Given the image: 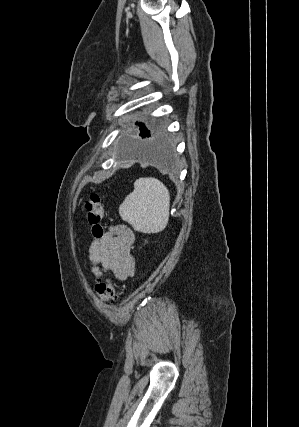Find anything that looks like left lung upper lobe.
<instances>
[{
  "mask_svg": "<svg viewBox=\"0 0 299 427\" xmlns=\"http://www.w3.org/2000/svg\"><path fill=\"white\" fill-rule=\"evenodd\" d=\"M152 130H148L143 124L140 126V136L145 138Z\"/></svg>",
  "mask_w": 299,
  "mask_h": 427,
  "instance_id": "5c2ea615",
  "label": "left lung upper lobe"
}]
</instances>
